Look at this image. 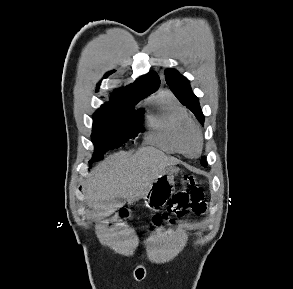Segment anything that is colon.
<instances>
[{
  "mask_svg": "<svg viewBox=\"0 0 293 289\" xmlns=\"http://www.w3.org/2000/svg\"><path fill=\"white\" fill-rule=\"evenodd\" d=\"M184 189L177 191L172 198V203L168 205L165 212L153 216L150 224L161 226L172 224L176 217L183 216L186 212L203 215L207 211L204 201V194L195 178L185 176L182 179Z\"/></svg>",
  "mask_w": 293,
  "mask_h": 289,
  "instance_id": "colon-1",
  "label": "colon"
}]
</instances>
